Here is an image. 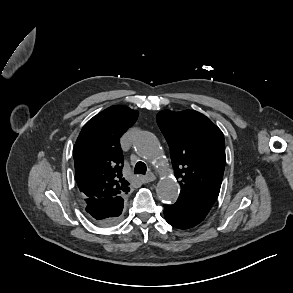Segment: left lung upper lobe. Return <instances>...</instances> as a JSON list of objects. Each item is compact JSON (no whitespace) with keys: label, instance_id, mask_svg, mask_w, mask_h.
I'll use <instances>...</instances> for the list:
<instances>
[{"label":"left lung upper lobe","instance_id":"5c2ea615","mask_svg":"<svg viewBox=\"0 0 293 293\" xmlns=\"http://www.w3.org/2000/svg\"><path fill=\"white\" fill-rule=\"evenodd\" d=\"M157 123L181 185L178 199L209 212L219 195L226 161L222 131L205 115L191 110L161 111Z\"/></svg>","mask_w":293,"mask_h":293}]
</instances>
